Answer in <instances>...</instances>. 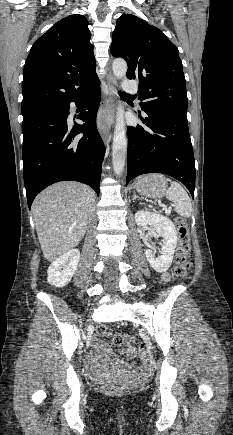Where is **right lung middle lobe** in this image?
I'll use <instances>...</instances> for the list:
<instances>
[{
	"instance_id": "right-lung-middle-lobe-1",
	"label": "right lung middle lobe",
	"mask_w": 233,
	"mask_h": 435,
	"mask_svg": "<svg viewBox=\"0 0 233 435\" xmlns=\"http://www.w3.org/2000/svg\"><path fill=\"white\" fill-rule=\"evenodd\" d=\"M44 112H45V111H44ZM44 112H40V113L33 114V115H29V116H24V117H23V122L29 121V120H31V119H33V118L39 116L40 114H42V113H44Z\"/></svg>"
}]
</instances>
